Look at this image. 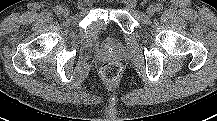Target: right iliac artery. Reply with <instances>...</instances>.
Masks as SVG:
<instances>
[{"mask_svg":"<svg viewBox=\"0 0 217 121\" xmlns=\"http://www.w3.org/2000/svg\"><path fill=\"white\" fill-rule=\"evenodd\" d=\"M54 11H55L56 14H60L61 11H62V7L61 6H56Z\"/></svg>","mask_w":217,"mask_h":121,"instance_id":"obj_1","label":"right iliac artery"}]
</instances>
